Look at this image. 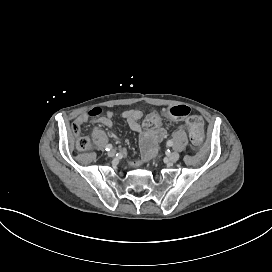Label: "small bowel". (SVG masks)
<instances>
[{"instance_id": "small-bowel-1", "label": "small bowel", "mask_w": 272, "mask_h": 272, "mask_svg": "<svg viewBox=\"0 0 272 272\" xmlns=\"http://www.w3.org/2000/svg\"><path fill=\"white\" fill-rule=\"evenodd\" d=\"M115 117L114 112L108 111L105 115L93 119L91 122L112 128L113 119ZM122 117L126 120L129 128L136 133L140 134V146L142 156L145 160H148L156 153V144L164 140L167 136V130L159 125L154 128L146 129L143 131L140 125V120L143 117V113L137 109H128L122 113ZM177 120V119H172ZM82 122L85 124L88 121V117L85 113H82L76 117L74 122Z\"/></svg>"}]
</instances>
